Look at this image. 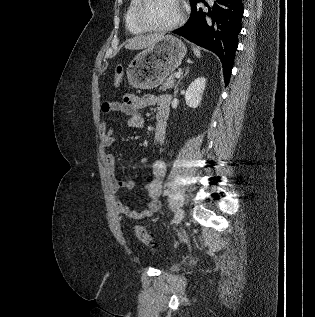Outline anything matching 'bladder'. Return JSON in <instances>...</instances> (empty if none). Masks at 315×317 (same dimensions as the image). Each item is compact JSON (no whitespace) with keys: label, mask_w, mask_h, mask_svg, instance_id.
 <instances>
[{"label":"bladder","mask_w":315,"mask_h":317,"mask_svg":"<svg viewBox=\"0 0 315 317\" xmlns=\"http://www.w3.org/2000/svg\"><path fill=\"white\" fill-rule=\"evenodd\" d=\"M178 267H179V266H178L177 264H173V265L170 266V269H171V270H177Z\"/></svg>","instance_id":"obj_1"}]
</instances>
